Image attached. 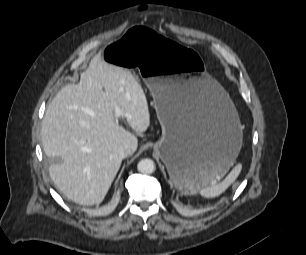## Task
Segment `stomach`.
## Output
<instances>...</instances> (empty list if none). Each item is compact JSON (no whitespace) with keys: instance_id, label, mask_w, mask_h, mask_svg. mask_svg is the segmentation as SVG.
<instances>
[{"instance_id":"1","label":"stomach","mask_w":306,"mask_h":255,"mask_svg":"<svg viewBox=\"0 0 306 255\" xmlns=\"http://www.w3.org/2000/svg\"><path fill=\"white\" fill-rule=\"evenodd\" d=\"M103 61L136 67L153 97L162 128L154 152L175 187L191 195L230 169L242 146V127L228 93L211 77L200 55L141 25L101 50Z\"/></svg>"}]
</instances>
